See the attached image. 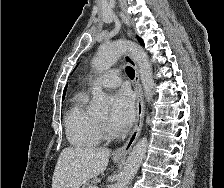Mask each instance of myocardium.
I'll use <instances>...</instances> for the list:
<instances>
[{
    "instance_id": "myocardium-1",
    "label": "myocardium",
    "mask_w": 224,
    "mask_h": 188,
    "mask_svg": "<svg viewBox=\"0 0 224 188\" xmlns=\"http://www.w3.org/2000/svg\"><path fill=\"white\" fill-rule=\"evenodd\" d=\"M98 123H99V127H100L101 132H103L106 135H108L110 131H109V128L107 126L106 121L105 120L98 119Z\"/></svg>"
}]
</instances>
